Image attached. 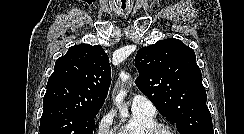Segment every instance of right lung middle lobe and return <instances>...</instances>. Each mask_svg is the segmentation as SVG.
I'll list each match as a JSON object with an SVG mask.
<instances>
[{
    "instance_id": "obj_1",
    "label": "right lung middle lobe",
    "mask_w": 244,
    "mask_h": 134,
    "mask_svg": "<svg viewBox=\"0 0 244 134\" xmlns=\"http://www.w3.org/2000/svg\"><path fill=\"white\" fill-rule=\"evenodd\" d=\"M97 113L62 103L43 105L40 134H93Z\"/></svg>"
}]
</instances>
